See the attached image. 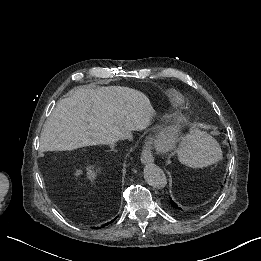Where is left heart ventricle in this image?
<instances>
[{
  "instance_id": "obj_1",
  "label": "left heart ventricle",
  "mask_w": 261,
  "mask_h": 261,
  "mask_svg": "<svg viewBox=\"0 0 261 261\" xmlns=\"http://www.w3.org/2000/svg\"><path fill=\"white\" fill-rule=\"evenodd\" d=\"M172 139L171 131L166 126H159L154 137L152 143L154 145H166Z\"/></svg>"
}]
</instances>
